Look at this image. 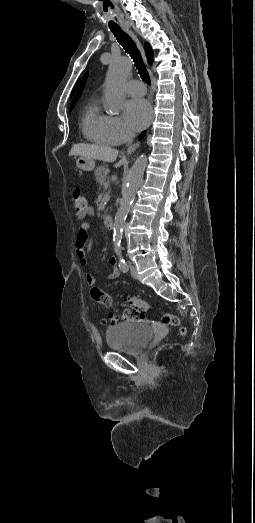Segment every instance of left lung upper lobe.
<instances>
[{"label":"left lung upper lobe","mask_w":255,"mask_h":523,"mask_svg":"<svg viewBox=\"0 0 255 523\" xmlns=\"http://www.w3.org/2000/svg\"><path fill=\"white\" fill-rule=\"evenodd\" d=\"M87 76H88V73H86V74L84 75L83 80H82V82H81V85H80V87H79V89H78V92H77L76 96L74 97V99H73L72 102H71V105H70V112L72 111V109L74 108V106H75L76 103H77V100H78L79 97L81 96V93H82V91H83V89H84V85H85V83H86Z\"/></svg>","instance_id":"5c2ea615"}]
</instances>
